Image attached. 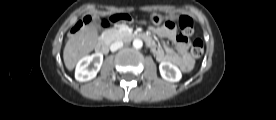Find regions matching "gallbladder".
I'll return each mask as SVG.
<instances>
[{
    "mask_svg": "<svg viewBox=\"0 0 276 120\" xmlns=\"http://www.w3.org/2000/svg\"><path fill=\"white\" fill-rule=\"evenodd\" d=\"M96 28H97V30H99V28H100V24L99 23H96Z\"/></svg>",
    "mask_w": 276,
    "mask_h": 120,
    "instance_id": "1",
    "label": "gallbladder"
}]
</instances>
